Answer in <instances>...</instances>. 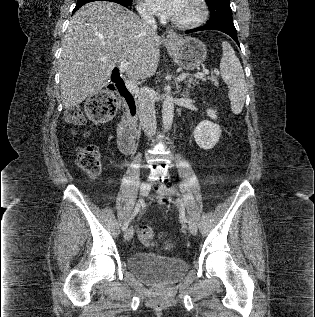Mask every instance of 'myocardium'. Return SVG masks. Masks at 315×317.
Here are the masks:
<instances>
[{
	"mask_svg": "<svg viewBox=\"0 0 315 317\" xmlns=\"http://www.w3.org/2000/svg\"><path fill=\"white\" fill-rule=\"evenodd\" d=\"M198 7H199V14L198 16L191 20V21H187V22H178L175 20L171 21V24L179 29H192V28H196L200 25H202L207 17H208V5L206 3L205 0H195Z\"/></svg>",
	"mask_w": 315,
	"mask_h": 317,
	"instance_id": "myocardium-1",
	"label": "myocardium"
}]
</instances>
